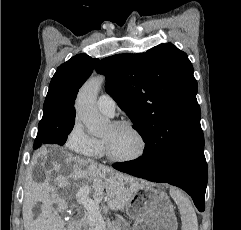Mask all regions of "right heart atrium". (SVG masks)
I'll return each instance as SVG.
<instances>
[{
  "label": "right heart atrium",
  "mask_w": 241,
  "mask_h": 230,
  "mask_svg": "<svg viewBox=\"0 0 241 230\" xmlns=\"http://www.w3.org/2000/svg\"><path fill=\"white\" fill-rule=\"evenodd\" d=\"M66 147L81 155L95 156L98 150V141L90 136L76 120L66 138Z\"/></svg>",
  "instance_id": "obj_1"
}]
</instances>
